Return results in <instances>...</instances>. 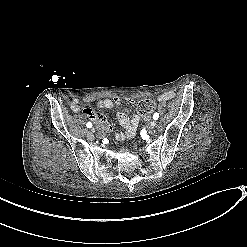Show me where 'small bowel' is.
Here are the masks:
<instances>
[{
  "mask_svg": "<svg viewBox=\"0 0 247 247\" xmlns=\"http://www.w3.org/2000/svg\"><path fill=\"white\" fill-rule=\"evenodd\" d=\"M173 97H174V93L169 91L161 94L158 97V100L160 102H165L171 100ZM125 100L128 102H132V99L130 98H126ZM85 101L87 102L96 101V105L99 109H112L116 105H119L123 101V98L117 96L114 97L113 99H108V98L96 99L93 96H89L85 98ZM71 110L74 113H79L82 111L80 99L78 98L73 99L71 104ZM83 112L88 118L96 119L98 122H103L105 120V114L103 112H98L96 114V118H95V113H91L89 109H85ZM116 117L119 124L123 128V131L116 133L115 135L116 139L119 141H123L126 139L133 138L140 124V120H141L140 116L135 114L131 118H129L125 112H118Z\"/></svg>",
  "mask_w": 247,
  "mask_h": 247,
  "instance_id": "1",
  "label": "small bowel"
}]
</instances>
